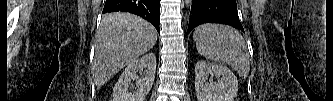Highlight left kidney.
I'll list each match as a JSON object with an SVG mask.
<instances>
[{"mask_svg": "<svg viewBox=\"0 0 333 101\" xmlns=\"http://www.w3.org/2000/svg\"><path fill=\"white\" fill-rule=\"evenodd\" d=\"M195 74L198 101H234L238 92V80L229 68L199 61L195 66ZM213 77L217 81H213Z\"/></svg>", "mask_w": 333, "mask_h": 101, "instance_id": "left-kidney-1", "label": "left kidney"}]
</instances>
